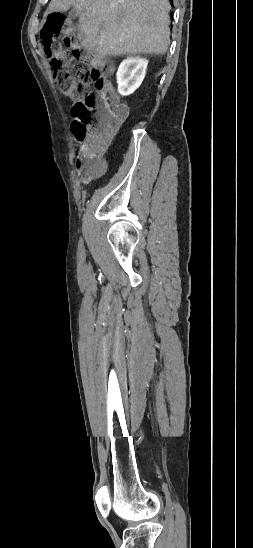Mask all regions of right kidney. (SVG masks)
<instances>
[{"instance_id":"ca27d5eb","label":"right kidney","mask_w":253,"mask_h":548,"mask_svg":"<svg viewBox=\"0 0 253 548\" xmlns=\"http://www.w3.org/2000/svg\"><path fill=\"white\" fill-rule=\"evenodd\" d=\"M148 60L140 56L127 57L120 64L116 77L118 92L122 96L132 94L143 82Z\"/></svg>"}]
</instances>
